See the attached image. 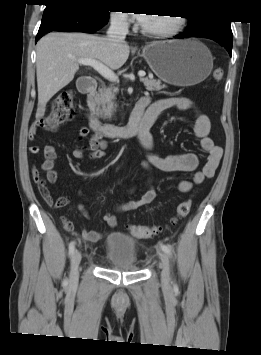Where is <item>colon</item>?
Masks as SVG:
<instances>
[{
	"label": "colon",
	"instance_id": "obj_1",
	"mask_svg": "<svg viewBox=\"0 0 261 355\" xmlns=\"http://www.w3.org/2000/svg\"><path fill=\"white\" fill-rule=\"evenodd\" d=\"M224 71L217 68L213 71L212 77L215 81L223 79ZM73 93L70 89H63L53 99L49 114L36 122L39 128L54 130L58 126L69 122L73 118ZM190 199L182 201L176 208L175 215L171 219V224H176L179 220L185 218L191 209ZM130 233L140 239L152 238L161 232V227L148 225H129Z\"/></svg>",
	"mask_w": 261,
	"mask_h": 355
}]
</instances>
